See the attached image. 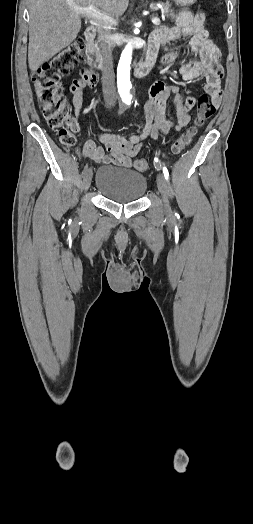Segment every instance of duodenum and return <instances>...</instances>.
<instances>
[{"label":"duodenum","instance_id":"duodenum-1","mask_svg":"<svg viewBox=\"0 0 253 524\" xmlns=\"http://www.w3.org/2000/svg\"><path fill=\"white\" fill-rule=\"evenodd\" d=\"M97 34V29L95 26H89L86 28L84 36L86 40V51L85 56L88 64L98 70H105V62L95 44V38ZM152 65L150 62H138L134 65V71L138 76H144L150 69Z\"/></svg>","mask_w":253,"mask_h":524}]
</instances>
